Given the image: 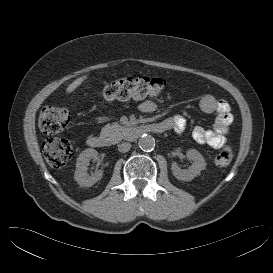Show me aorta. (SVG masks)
I'll use <instances>...</instances> for the list:
<instances>
[{"label": "aorta", "instance_id": "aorta-1", "mask_svg": "<svg viewBox=\"0 0 273 273\" xmlns=\"http://www.w3.org/2000/svg\"><path fill=\"white\" fill-rule=\"evenodd\" d=\"M139 147L143 151H152L155 148V139L151 135H142L139 139Z\"/></svg>", "mask_w": 273, "mask_h": 273}]
</instances>
